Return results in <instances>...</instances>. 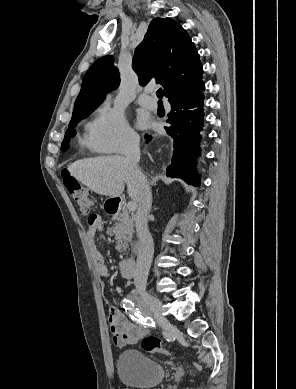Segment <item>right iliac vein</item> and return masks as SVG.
<instances>
[{
  "label": "right iliac vein",
  "instance_id": "obj_1",
  "mask_svg": "<svg viewBox=\"0 0 296 389\" xmlns=\"http://www.w3.org/2000/svg\"><path fill=\"white\" fill-rule=\"evenodd\" d=\"M144 302L143 304L147 307L148 312L155 317L161 327L167 329L169 327V322L162 315V303L159 298L151 294H146L144 297Z\"/></svg>",
  "mask_w": 296,
  "mask_h": 389
}]
</instances>
